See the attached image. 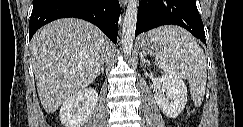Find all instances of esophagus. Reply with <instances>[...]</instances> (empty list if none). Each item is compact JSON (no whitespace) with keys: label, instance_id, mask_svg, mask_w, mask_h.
Here are the masks:
<instances>
[{"label":"esophagus","instance_id":"esophagus-1","mask_svg":"<svg viewBox=\"0 0 243 127\" xmlns=\"http://www.w3.org/2000/svg\"><path fill=\"white\" fill-rule=\"evenodd\" d=\"M128 2H129V0H122V1H121V3H122L123 5H126Z\"/></svg>","mask_w":243,"mask_h":127}]
</instances>
